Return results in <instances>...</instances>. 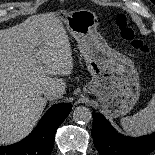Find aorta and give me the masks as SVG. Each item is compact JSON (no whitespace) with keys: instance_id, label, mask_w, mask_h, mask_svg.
Returning a JSON list of instances; mask_svg holds the SVG:
<instances>
[{"instance_id":"762f6f07","label":"aorta","mask_w":155,"mask_h":155,"mask_svg":"<svg viewBox=\"0 0 155 155\" xmlns=\"http://www.w3.org/2000/svg\"><path fill=\"white\" fill-rule=\"evenodd\" d=\"M92 119V113L89 108L85 106H78L73 111V120L79 124H85Z\"/></svg>"}]
</instances>
